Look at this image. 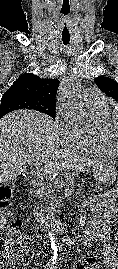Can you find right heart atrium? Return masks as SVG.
I'll return each mask as SVG.
<instances>
[{"label":"right heart atrium","mask_w":118,"mask_h":269,"mask_svg":"<svg viewBox=\"0 0 118 269\" xmlns=\"http://www.w3.org/2000/svg\"><path fill=\"white\" fill-rule=\"evenodd\" d=\"M57 121L63 131L66 141L72 146H82L89 137L74 121L62 115L60 112L57 114Z\"/></svg>","instance_id":"1"}]
</instances>
